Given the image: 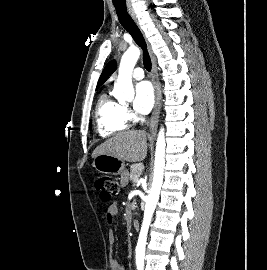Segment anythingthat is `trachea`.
<instances>
[{
  "mask_svg": "<svg viewBox=\"0 0 267 270\" xmlns=\"http://www.w3.org/2000/svg\"><path fill=\"white\" fill-rule=\"evenodd\" d=\"M116 13L121 25L131 34L134 41L142 48L143 50V63L147 71H151V59L147 52L146 42L144 37L139 30L138 26L134 20L129 15L126 7H116Z\"/></svg>",
  "mask_w": 267,
  "mask_h": 270,
  "instance_id": "trachea-1",
  "label": "trachea"
}]
</instances>
